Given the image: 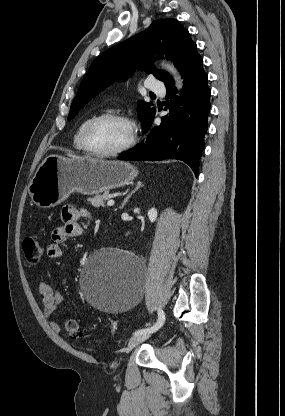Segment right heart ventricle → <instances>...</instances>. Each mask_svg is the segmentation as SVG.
<instances>
[{"label":"right heart ventricle","instance_id":"e07e8e85","mask_svg":"<svg viewBox=\"0 0 285 416\" xmlns=\"http://www.w3.org/2000/svg\"><path fill=\"white\" fill-rule=\"evenodd\" d=\"M90 117L84 118L78 125L74 136H73V146L76 150L80 151V152H86V150L84 149L82 142H81V133H82V129L86 123V121L89 119Z\"/></svg>","mask_w":285,"mask_h":416}]
</instances>
